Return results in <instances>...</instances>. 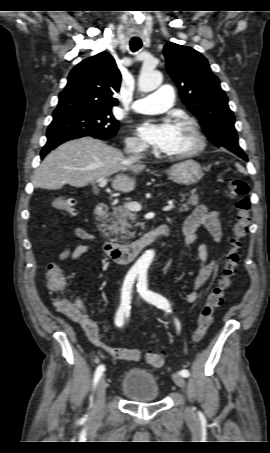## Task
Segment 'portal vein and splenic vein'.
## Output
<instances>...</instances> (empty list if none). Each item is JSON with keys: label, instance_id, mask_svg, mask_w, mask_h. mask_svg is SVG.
I'll list each match as a JSON object with an SVG mask.
<instances>
[{"label": "portal vein and splenic vein", "instance_id": "1", "mask_svg": "<svg viewBox=\"0 0 270 453\" xmlns=\"http://www.w3.org/2000/svg\"><path fill=\"white\" fill-rule=\"evenodd\" d=\"M108 180L106 178H102L98 180L99 187H105ZM174 207V203L172 201L168 202V205L163 208L164 211H169ZM127 208L131 211L138 212L141 210L142 206L138 202H131L127 205Z\"/></svg>", "mask_w": 270, "mask_h": 453}]
</instances>
